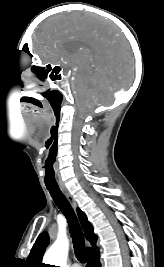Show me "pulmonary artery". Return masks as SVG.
I'll return each mask as SVG.
<instances>
[{"label": "pulmonary artery", "mask_w": 164, "mask_h": 267, "mask_svg": "<svg viewBox=\"0 0 164 267\" xmlns=\"http://www.w3.org/2000/svg\"><path fill=\"white\" fill-rule=\"evenodd\" d=\"M71 267H80V265L77 264V263H75V264H73Z\"/></svg>", "instance_id": "pulmonary-artery-1"}]
</instances>
